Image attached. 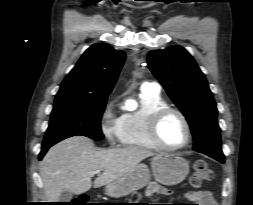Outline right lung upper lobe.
I'll return each instance as SVG.
<instances>
[{"instance_id": "right-lung-upper-lobe-1", "label": "right lung upper lobe", "mask_w": 253, "mask_h": 205, "mask_svg": "<svg viewBox=\"0 0 253 205\" xmlns=\"http://www.w3.org/2000/svg\"><path fill=\"white\" fill-rule=\"evenodd\" d=\"M124 60L123 51L115 50L104 43L92 45L63 80L55 102L107 99Z\"/></svg>"}]
</instances>
